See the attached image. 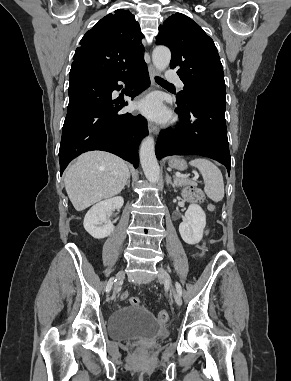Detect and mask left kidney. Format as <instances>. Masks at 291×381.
<instances>
[{
    "label": "left kidney",
    "mask_w": 291,
    "mask_h": 381,
    "mask_svg": "<svg viewBox=\"0 0 291 381\" xmlns=\"http://www.w3.org/2000/svg\"><path fill=\"white\" fill-rule=\"evenodd\" d=\"M206 226V214L197 204H190L183 222L179 225V233L187 244L194 245L201 241Z\"/></svg>",
    "instance_id": "obj_1"
}]
</instances>
